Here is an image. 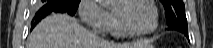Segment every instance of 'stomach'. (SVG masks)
<instances>
[{"label":"stomach","mask_w":213,"mask_h":48,"mask_svg":"<svg viewBox=\"0 0 213 48\" xmlns=\"http://www.w3.org/2000/svg\"><path fill=\"white\" fill-rule=\"evenodd\" d=\"M147 48H154V47H152V46H149V47H147Z\"/></svg>","instance_id":"0dacf381"}]
</instances>
